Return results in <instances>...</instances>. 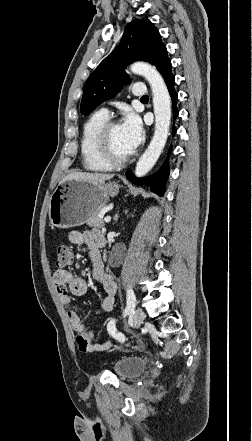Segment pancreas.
<instances>
[{
    "instance_id": "obj_1",
    "label": "pancreas",
    "mask_w": 252,
    "mask_h": 441,
    "mask_svg": "<svg viewBox=\"0 0 252 441\" xmlns=\"http://www.w3.org/2000/svg\"><path fill=\"white\" fill-rule=\"evenodd\" d=\"M102 208H105V206H103ZM102 210V209H101ZM101 210L93 215L92 217H90L87 221V224L91 227H97V228H103L104 227V221L100 216Z\"/></svg>"
}]
</instances>
